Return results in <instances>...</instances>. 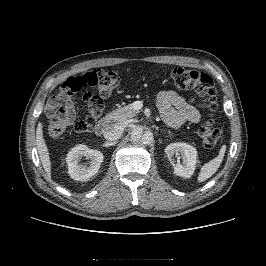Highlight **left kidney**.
<instances>
[{
  "label": "left kidney",
  "mask_w": 266,
  "mask_h": 266,
  "mask_svg": "<svg viewBox=\"0 0 266 266\" xmlns=\"http://www.w3.org/2000/svg\"><path fill=\"white\" fill-rule=\"evenodd\" d=\"M165 153L174 168L175 175L184 178L193 175L197 162V151L193 146L184 142L171 143L165 148ZM175 154L182 157V163L174 164L172 157Z\"/></svg>",
  "instance_id": "1"
}]
</instances>
